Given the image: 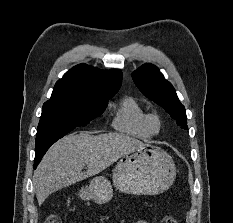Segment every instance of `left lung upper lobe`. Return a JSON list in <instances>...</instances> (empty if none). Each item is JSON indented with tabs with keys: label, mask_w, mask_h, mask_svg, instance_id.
<instances>
[{
	"label": "left lung upper lobe",
	"mask_w": 233,
	"mask_h": 223,
	"mask_svg": "<svg viewBox=\"0 0 233 223\" xmlns=\"http://www.w3.org/2000/svg\"><path fill=\"white\" fill-rule=\"evenodd\" d=\"M139 90L149 99L160 105L177 124L188 130L185 108L179 102L173 86L164 79L158 68L144 64L132 74Z\"/></svg>",
	"instance_id": "5c2ea615"
}]
</instances>
